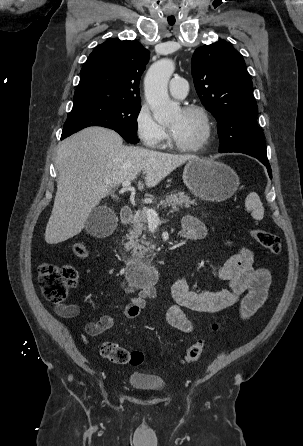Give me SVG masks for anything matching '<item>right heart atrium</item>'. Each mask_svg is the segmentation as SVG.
Wrapping results in <instances>:
<instances>
[{"mask_svg": "<svg viewBox=\"0 0 303 446\" xmlns=\"http://www.w3.org/2000/svg\"><path fill=\"white\" fill-rule=\"evenodd\" d=\"M135 131L142 144L149 148H160L167 139L165 127L156 121L146 104L135 115Z\"/></svg>", "mask_w": 303, "mask_h": 446, "instance_id": "1", "label": "right heart atrium"}]
</instances>
